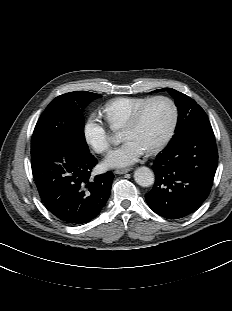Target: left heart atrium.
<instances>
[{
  "instance_id": "obj_1",
  "label": "left heart atrium",
  "mask_w": 232,
  "mask_h": 311,
  "mask_svg": "<svg viewBox=\"0 0 232 311\" xmlns=\"http://www.w3.org/2000/svg\"><path fill=\"white\" fill-rule=\"evenodd\" d=\"M146 148L136 140H127L121 147L108 155L105 165L109 167H124L136 163L146 152Z\"/></svg>"
}]
</instances>
